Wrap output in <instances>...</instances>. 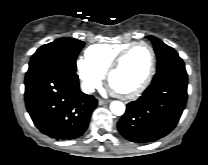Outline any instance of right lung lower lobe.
<instances>
[{"label":"right lung lower lobe","instance_id":"obj_1","mask_svg":"<svg viewBox=\"0 0 208 165\" xmlns=\"http://www.w3.org/2000/svg\"><path fill=\"white\" fill-rule=\"evenodd\" d=\"M25 103L35 126L58 140L81 136L97 106L92 95L80 91L76 70L60 63L26 73Z\"/></svg>","mask_w":208,"mask_h":165}]
</instances>
